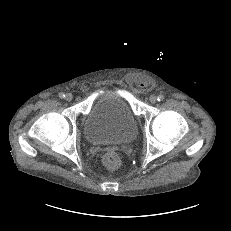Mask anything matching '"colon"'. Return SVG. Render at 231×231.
I'll use <instances>...</instances> for the list:
<instances>
[{
    "label": "colon",
    "mask_w": 231,
    "mask_h": 231,
    "mask_svg": "<svg viewBox=\"0 0 231 231\" xmlns=\"http://www.w3.org/2000/svg\"><path fill=\"white\" fill-rule=\"evenodd\" d=\"M103 163L107 168L116 169L120 166L121 159L116 152L109 151L104 155Z\"/></svg>",
    "instance_id": "obj_1"
}]
</instances>
